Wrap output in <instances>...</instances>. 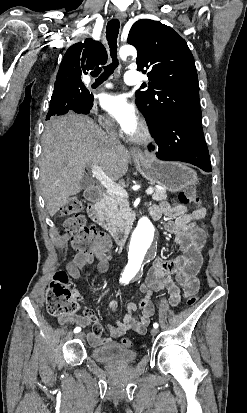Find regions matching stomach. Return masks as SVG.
<instances>
[{
  "label": "stomach",
  "mask_w": 247,
  "mask_h": 413,
  "mask_svg": "<svg viewBox=\"0 0 247 413\" xmlns=\"http://www.w3.org/2000/svg\"><path fill=\"white\" fill-rule=\"evenodd\" d=\"M139 172L142 176L156 182L160 186H164L166 190L177 192V190H184L195 184L198 180L197 172L186 166L183 162H169V160H158L154 156H132Z\"/></svg>",
  "instance_id": "0dacf381"
}]
</instances>
